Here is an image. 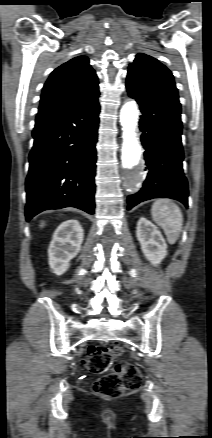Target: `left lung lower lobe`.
Returning <instances> with one entry per match:
<instances>
[{"instance_id":"left-lung-lower-lobe-1","label":"left lung lower lobe","mask_w":212,"mask_h":438,"mask_svg":"<svg viewBox=\"0 0 212 438\" xmlns=\"http://www.w3.org/2000/svg\"><path fill=\"white\" fill-rule=\"evenodd\" d=\"M126 87L142 113L139 128L148 170L142 189L128 197V210L152 198H172L188 206L180 103L131 85Z\"/></svg>"}]
</instances>
